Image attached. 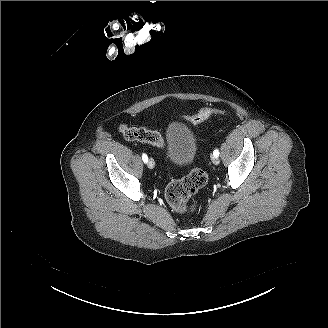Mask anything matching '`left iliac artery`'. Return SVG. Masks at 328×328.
Here are the masks:
<instances>
[{
    "label": "left iliac artery",
    "mask_w": 328,
    "mask_h": 328,
    "mask_svg": "<svg viewBox=\"0 0 328 328\" xmlns=\"http://www.w3.org/2000/svg\"><path fill=\"white\" fill-rule=\"evenodd\" d=\"M213 155L215 156V157H218L219 156V151L216 149V150H214L213 151Z\"/></svg>",
    "instance_id": "obj_1"
}]
</instances>
